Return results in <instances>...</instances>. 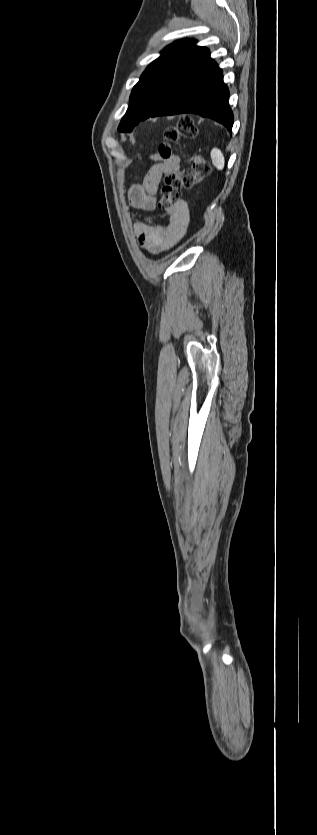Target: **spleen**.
<instances>
[{
	"label": "spleen",
	"instance_id": "obj_1",
	"mask_svg": "<svg viewBox=\"0 0 317 835\" xmlns=\"http://www.w3.org/2000/svg\"><path fill=\"white\" fill-rule=\"evenodd\" d=\"M211 159H212V163H213V165H214V166H215L218 170H223V169H224V166H225V159H224V155H223V153L221 152V150H220V149H218V148H213V149L211 150Z\"/></svg>",
	"mask_w": 317,
	"mask_h": 835
}]
</instances>
